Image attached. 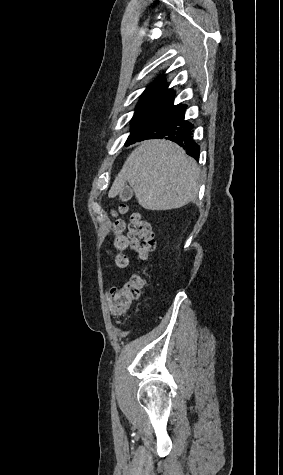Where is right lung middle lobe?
I'll return each mask as SVG.
<instances>
[{"label": "right lung middle lobe", "instance_id": "dd1d6c3e", "mask_svg": "<svg viewBox=\"0 0 283 475\" xmlns=\"http://www.w3.org/2000/svg\"><path fill=\"white\" fill-rule=\"evenodd\" d=\"M173 95L174 91L168 89H162L144 94L136 106L135 114L132 119L131 131H133L141 122H143L148 116L155 112Z\"/></svg>", "mask_w": 283, "mask_h": 475}]
</instances>
